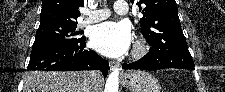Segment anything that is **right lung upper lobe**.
I'll return each instance as SVG.
<instances>
[{
	"instance_id": "cb5924a9",
	"label": "right lung upper lobe",
	"mask_w": 225,
	"mask_h": 92,
	"mask_svg": "<svg viewBox=\"0 0 225 92\" xmlns=\"http://www.w3.org/2000/svg\"><path fill=\"white\" fill-rule=\"evenodd\" d=\"M84 0H42L40 25L54 22L77 23L80 16L78 8Z\"/></svg>"
}]
</instances>
